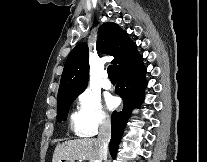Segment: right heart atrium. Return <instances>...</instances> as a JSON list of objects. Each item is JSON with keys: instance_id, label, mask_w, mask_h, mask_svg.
<instances>
[{"instance_id": "d8ad5b80", "label": "right heart atrium", "mask_w": 207, "mask_h": 162, "mask_svg": "<svg viewBox=\"0 0 207 162\" xmlns=\"http://www.w3.org/2000/svg\"><path fill=\"white\" fill-rule=\"evenodd\" d=\"M76 106L77 132L80 135L91 136L109 124V118L100 99L91 91L81 92L76 99Z\"/></svg>"}]
</instances>
